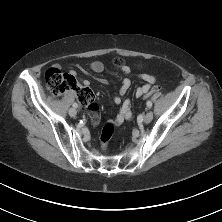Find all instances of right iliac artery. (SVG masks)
<instances>
[{
  "label": "right iliac artery",
  "mask_w": 222,
  "mask_h": 222,
  "mask_svg": "<svg viewBox=\"0 0 222 222\" xmlns=\"http://www.w3.org/2000/svg\"><path fill=\"white\" fill-rule=\"evenodd\" d=\"M73 107L74 108H77L78 107V104L75 102V103H73Z\"/></svg>",
  "instance_id": "obj_1"
}]
</instances>
